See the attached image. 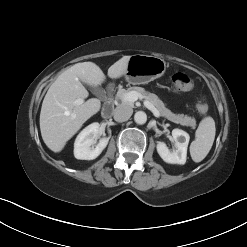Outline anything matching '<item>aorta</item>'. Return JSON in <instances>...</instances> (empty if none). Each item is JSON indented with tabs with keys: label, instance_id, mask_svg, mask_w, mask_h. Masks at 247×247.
<instances>
[{
	"label": "aorta",
	"instance_id": "1",
	"mask_svg": "<svg viewBox=\"0 0 247 247\" xmlns=\"http://www.w3.org/2000/svg\"><path fill=\"white\" fill-rule=\"evenodd\" d=\"M134 121L137 124H144V123H146V121H147V115H146V113L143 112V111L136 112L135 115H134Z\"/></svg>",
	"mask_w": 247,
	"mask_h": 247
}]
</instances>
